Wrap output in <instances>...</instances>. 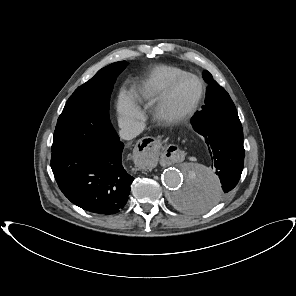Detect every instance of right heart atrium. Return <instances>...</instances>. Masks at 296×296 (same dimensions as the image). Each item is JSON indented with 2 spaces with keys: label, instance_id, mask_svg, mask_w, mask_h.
Wrapping results in <instances>:
<instances>
[{
  "label": "right heart atrium",
  "instance_id": "obj_1",
  "mask_svg": "<svg viewBox=\"0 0 296 296\" xmlns=\"http://www.w3.org/2000/svg\"><path fill=\"white\" fill-rule=\"evenodd\" d=\"M119 112L123 125L140 117L138 110L125 98H121L119 101Z\"/></svg>",
  "mask_w": 296,
  "mask_h": 296
}]
</instances>
